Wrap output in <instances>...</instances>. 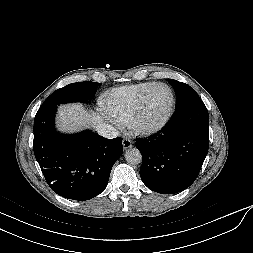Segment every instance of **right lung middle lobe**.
Instances as JSON below:
<instances>
[{
  "mask_svg": "<svg viewBox=\"0 0 253 253\" xmlns=\"http://www.w3.org/2000/svg\"><path fill=\"white\" fill-rule=\"evenodd\" d=\"M100 85V83L90 81L71 83L54 91L41 106L87 102L93 97L97 87Z\"/></svg>",
  "mask_w": 253,
  "mask_h": 253,
  "instance_id": "dd1d6c3e",
  "label": "right lung middle lobe"
}]
</instances>
